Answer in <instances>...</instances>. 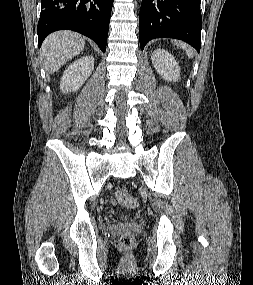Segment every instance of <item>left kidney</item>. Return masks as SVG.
Masks as SVG:
<instances>
[{
    "mask_svg": "<svg viewBox=\"0 0 253 285\" xmlns=\"http://www.w3.org/2000/svg\"><path fill=\"white\" fill-rule=\"evenodd\" d=\"M152 64L156 71L166 81H178L180 77V67L174 57L164 49H155L151 56Z\"/></svg>",
    "mask_w": 253,
    "mask_h": 285,
    "instance_id": "5707ae66",
    "label": "left kidney"
}]
</instances>
